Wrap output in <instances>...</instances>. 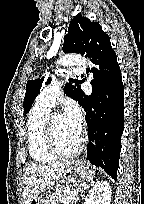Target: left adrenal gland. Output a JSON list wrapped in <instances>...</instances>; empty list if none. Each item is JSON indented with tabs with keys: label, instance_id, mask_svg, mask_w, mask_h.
Instances as JSON below:
<instances>
[{
	"label": "left adrenal gland",
	"instance_id": "left-adrenal-gland-1",
	"mask_svg": "<svg viewBox=\"0 0 144 204\" xmlns=\"http://www.w3.org/2000/svg\"><path fill=\"white\" fill-rule=\"evenodd\" d=\"M93 184H94V181H91L90 185H93ZM88 187H89V186L83 188V189L80 191V194H79V196L77 197V201H78L81 197H83L84 190H86Z\"/></svg>",
	"mask_w": 144,
	"mask_h": 204
}]
</instances>
